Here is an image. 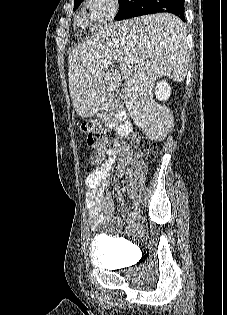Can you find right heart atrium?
<instances>
[{"label":"right heart atrium","instance_id":"obj_1","mask_svg":"<svg viewBox=\"0 0 227 315\" xmlns=\"http://www.w3.org/2000/svg\"><path fill=\"white\" fill-rule=\"evenodd\" d=\"M90 19L97 27L109 23L118 11V0H85Z\"/></svg>","mask_w":227,"mask_h":315}]
</instances>
